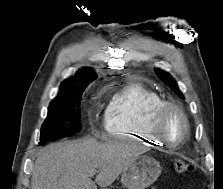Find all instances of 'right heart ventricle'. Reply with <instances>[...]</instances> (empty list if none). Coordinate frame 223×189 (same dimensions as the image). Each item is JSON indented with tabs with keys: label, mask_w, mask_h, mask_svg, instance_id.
<instances>
[{
	"label": "right heart ventricle",
	"mask_w": 223,
	"mask_h": 189,
	"mask_svg": "<svg viewBox=\"0 0 223 189\" xmlns=\"http://www.w3.org/2000/svg\"><path fill=\"white\" fill-rule=\"evenodd\" d=\"M162 102L157 92L140 83H128L107 106L105 131L110 137H131L148 144L162 145L150 131L151 114Z\"/></svg>",
	"instance_id": "e07e8e85"
}]
</instances>
